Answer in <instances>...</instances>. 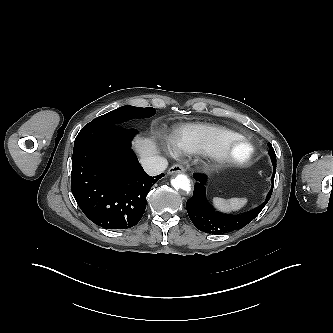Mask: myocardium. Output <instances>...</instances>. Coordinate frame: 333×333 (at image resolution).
<instances>
[{
    "label": "myocardium",
    "instance_id": "obj_1",
    "mask_svg": "<svg viewBox=\"0 0 333 333\" xmlns=\"http://www.w3.org/2000/svg\"><path fill=\"white\" fill-rule=\"evenodd\" d=\"M255 149L245 138L236 136L220 141L207 152V157L216 164L243 165L251 160Z\"/></svg>",
    "mask_w": 333,
    "mask_h": 333
}]
</instances>
